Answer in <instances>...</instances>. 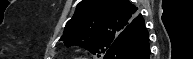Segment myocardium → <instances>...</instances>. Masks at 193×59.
I'll return each instance as SVG.
<instances>
[{
	"label": "myocardium",
	"instance_id": "obj_1",
	"mask_svg": "<svg viewBox=\"0 0 193 59\" xmlns=\"http://www.w3.org/2000/svg\"><path fill=\"white\" fill-rule=\"evenodd\" d=\"M76 59H86V58H76Z\"/></svg>",
	"mask_w": 193,
	"mask_h": 59
}]
</instances>
